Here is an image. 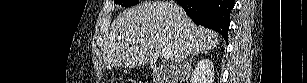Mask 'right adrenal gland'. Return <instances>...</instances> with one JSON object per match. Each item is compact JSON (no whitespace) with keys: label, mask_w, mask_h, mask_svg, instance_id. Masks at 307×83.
Here are the masks:
<instances>
[{"label":"right adrenal gland","mask_w":307,"mask_h":83,"mask_svg":"<svg viewBox=\"0 0 307 83\" xmlns=\"http://www.w3.org/2000/svg\"><path fill=\"white\" fill-rule=\"evenodd\" d=\"M199 54H208V51L197 52V53L192 55L191 59L194 58V56H198Z\"/></svg>","instance_id":"1"}]
</instances>
